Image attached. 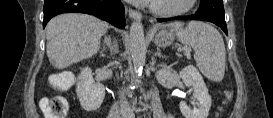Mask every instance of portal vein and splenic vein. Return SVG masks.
Listing matches in <instances>:
<instances>
[{"label": "portal vein and splenic vein", "mask_w": 273, "mask_h": 118, "mask_svg": "<svg viewBox=\"0 0 273 118\" xmlns=\"http://www.w3.org/2000/svg\"><path fill=\"white\" fill-rule=\"evenodd\" d=\"M182 50L186 51L187 53H190V50L188 48H184Z\"/></svg>", "instance_id": "portal-vein-and-splenic-vein-1"}]
</instances>
